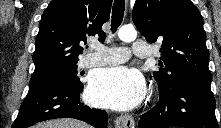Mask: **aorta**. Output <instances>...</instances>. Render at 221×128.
Listing matches in <instances>:
<instances>
[{
	"instance_id": "aorta-1",
	"label": "aorta",
	"mask_w": 221,
	"mask_h": 128,
	"mask_svg": "<svg viewBox=\"0 0 221 128\" xmlns=\"http://www.w3.org/2000/svg\"><path fill=\"white\" fill-rule=\"evenodd\" d=\"M118 37L124 42H131L137 38V32L133 27L123 26L118 30Z\"/></svg>"
}]
</instances>
